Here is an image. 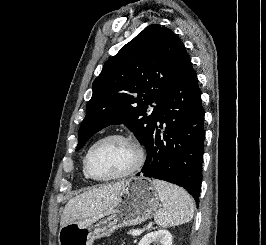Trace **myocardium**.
<instances>
[{"instance_id":"1","label":"myocardium","mask_w":266,"mask_h":245,"mask_svg":"<svg viewBox=\"0 0 266 245\" xmlns=\"http://www.w3.org/2000/svg\"><path fill=\"white\" fill-rule=\"evenodd\" d=\"M109 139H120V140L127 141V142L131 143L136 148L137 157H136L134 165L127 172H125L121 175H118V176H113V177H108V178H100V177L95 176L91 172L90 167H89V160H90V157H91L93 150L99 144H101L102 142L109 140ZM144 158H145L144 148L137 139H135L131 136H128L126 134H123V133H110V134H106V135L100 137L99 139H97L88 148V150L84 156V169H85V172L88 175V177L94 181L111 182V181L125 179V178H128V177L132 176L133 174H135L142 167V165L144 163Z\"/></svg>"}]
</instances>
